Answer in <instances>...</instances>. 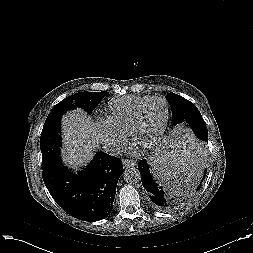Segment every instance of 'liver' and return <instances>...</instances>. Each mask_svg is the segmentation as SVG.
<instances>
[{"mask_svg":"<svg viewBox=\"0 0 253 253\" xmlns=\"http://www.w3.org/2000/svg\"><path fill=\"white\" fill-rule=\"evenodd\" d=\"M63 161L77 167L93 156L97 147V133L91 118L82 110H74L63 116Z\"/></svg>","mask_w":253,"mask_h":253,"instance_id":"1","label":"liver"}]
</instances>
